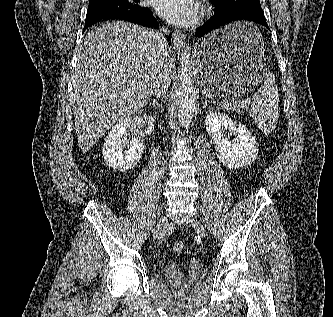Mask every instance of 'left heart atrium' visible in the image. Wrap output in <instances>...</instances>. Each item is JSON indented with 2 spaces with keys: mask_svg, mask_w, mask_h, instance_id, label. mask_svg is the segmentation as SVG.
<instances>
[{
  "mask_svg": "<svg viewBox=\"0 0 333 317\" xmlns=\"http://www.w3.org/2000/svg\"><path fill=\"white\" fill-rule=\"evenodd\" d=\"M157 13L175 24H188L198 13V6L194 0H157Z\"/></svg>",
  "mask_w": 333,
  "mask_h": 317,
  "instance_id": "1",
  "label": "left heart atrium"
}]
</instances>
